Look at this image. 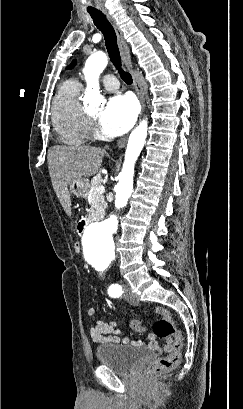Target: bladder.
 Masks as SVG:
<instances>
[{"label":"bladder","mask_w":243,"mask_h":409,"mask_svg":"<svg viewBox=\"0 0 243 409\" xmlns=\"http://www.w3.org/2000/svg\"><path fill=\"white\" fill-rule=\"evenodd\" d=\"M151 355L150 350L125 344H104L96 350V357L101 365L120 373L130 372Z\"/></svg>","instance_id":"1"}]
</instances>
